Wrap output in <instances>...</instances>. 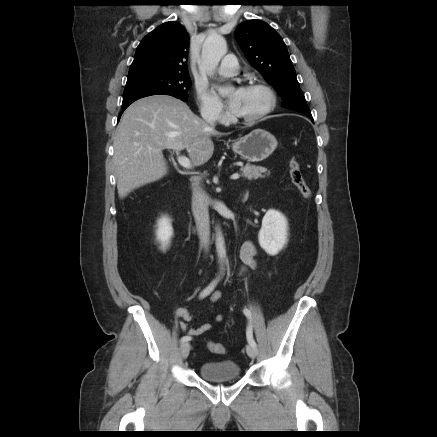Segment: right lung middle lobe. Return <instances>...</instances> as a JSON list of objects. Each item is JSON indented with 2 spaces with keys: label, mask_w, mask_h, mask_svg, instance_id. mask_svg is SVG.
Listing matches in <instances>:
<instances>
[{
  "label": "right lung middle lobe",
  "mask_w": 437,
  "mask_h": 437,
  "mask_svg": "<svg viewBox=\"0 0 437 437\" xmlns=\"http://www.w3.org/2000/svg\"><path fill=\"white\" fill-rule=\"evenodd\" d=\"M191 80L188 74L159 71L129 72L122 106L130 105L142 97L164 94L186 101Z\"/></svg>",
  "instance_id": "obj_1"
}]
</instances>
